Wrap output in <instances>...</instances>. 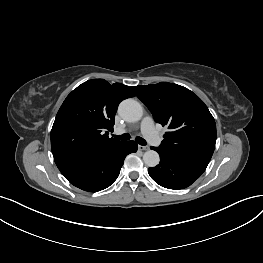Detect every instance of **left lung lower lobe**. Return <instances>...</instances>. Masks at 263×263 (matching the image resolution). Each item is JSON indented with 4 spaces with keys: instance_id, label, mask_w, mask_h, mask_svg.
I'll return each instance as SVG.
<instances>
[{
    "instance_id": "0a47b994",
    "label": "left lung lower lobe",
    "mask_w": 263,
    "mask_h": 263,
    "mask_svg": "<svg viewBox=\"0 0 263 263\" xmlns=\"http://www.w3.org/2000/svg\"><path fill=\"white\" fill-rule=\"evenodd\" d=\"M160 155V163L148 169L150 177L160 186L168 189H183L198 179L206 165L182 160L151 147Z\"/></svg>"
}]
</instances>
